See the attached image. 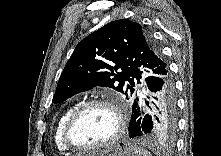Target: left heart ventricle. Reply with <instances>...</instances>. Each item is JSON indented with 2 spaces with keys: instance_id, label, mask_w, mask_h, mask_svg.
<instances>
[{
  "instance_id": "1",
  "label": "left heart ventricle",
  "mask_w": 221,
  "mask_h": 156,
  "mask_svg": "<svg viewBox=\"0 0 221 156\" xmlns=\"http://www.w3.org/2000/svg\"><path fill=\"white\" fill-rule=\"evenodd\" d=\"M116 129L114 113L107 107L88 109L73 126L71 135L80 145H95L107 140Z\"/></svg>"
}]
</instances>
